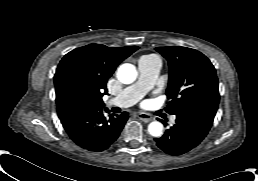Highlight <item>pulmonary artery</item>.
<instances>
[{"mask_svg":"<svg viewBox=\"0 0 258 181\" xmlns=\"http://www.w3.org/2000/svg\"><path fill=\"white\" fill-rule=\"evenodd\" d=\"M139 78L138 81L124 90L118 95L109 99L107 106L129 107L141 100L145 94L154 86L161 69V60L156 56H147L139 60L138 63ZM175 116L171 117L174 122Z\"/></svg>","mask_w":258,"mask_h":181,"instance_id":"1","label":"pulmonary artery"}]
</instances>
